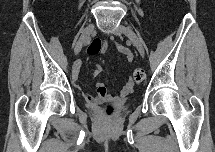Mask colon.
I'll return each mask as SVG.
<instances>
[{
    "label": "colon",
    "mask_w": 215,
    "mask_h": 152,
    "mask_svg": "<svg viewBox=\"0 0 215 152\" xmlns=\"http://www.w3.org/2000/svg\"><path fill=\"white\" fill-rule=\"evenodd\" d=\"M101 42L99 40H94L88 47V54L93 56L96 55L101 49ZM145 79V73L141 69H136L133 72V80L135 83H141ZM114 111L112 105H107L105 108V114L111 115Z\"/></svg>",
    "instance_id": "obj_1"
}]
</instances>
